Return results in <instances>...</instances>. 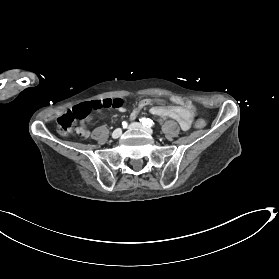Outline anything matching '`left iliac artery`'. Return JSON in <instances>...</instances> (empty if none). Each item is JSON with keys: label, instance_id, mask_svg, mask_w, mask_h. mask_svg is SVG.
<instances>
[{"label": "left iliac artery", "instance_id": "left-iliac-artery-1", "mask_svg": "<svg viewBox=\"0 0 279 279\" xmlns=\"http://www.w3.org/2000/svg\"><path fill=\"white\" fill-rule=\"evenodd\" d=\"M140 121L142 122L143 126L152 127L154 125L153 121L148 118H141Z\"/></svg>", "mask_w": 279, "mask_h": 279}]
</instances>
